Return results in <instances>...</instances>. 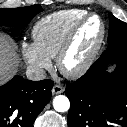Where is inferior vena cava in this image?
Listing matches in <instances>:
<instances>
[{"instance_id": "1", "label": "inferior vena cava", "mask_w": 127, "mask_h": 127, "mask_svg": "<svg viewBox=\"0 0 127 127\" xmlns=\"http://www.w3.org/2000/svg\"><path fill=\"white\" fill-rule=\"evenodd\" d=\"M26 76L29 80L40 81L46 78V72L42 68L28 67L26 70Z\"/></svg>"}]
</instances>
